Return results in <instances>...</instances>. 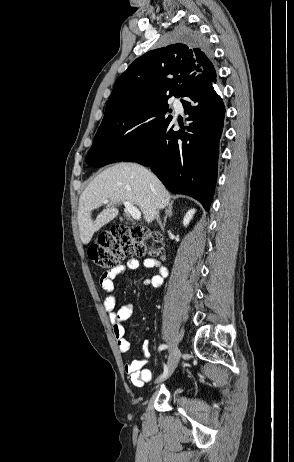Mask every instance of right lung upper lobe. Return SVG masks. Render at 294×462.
<instances>
[{
  "instance_id": "cb5924a9",
  "label": "right lung upper lobe",
  "mask_w": 294,
  "mask_h": 462,
  "mask_svg": "<svg viewBox=\"0 0 294 462\" xmlns=\"http://www.w3.org/2000/svg\"><path fill=\"white\" fill-rule=\"evenodd\" d=\"M215 76L208 50L177 43L149 51L116 80L104 117L146 100L181 96Z\"/></svg>"
}]
</instances>
